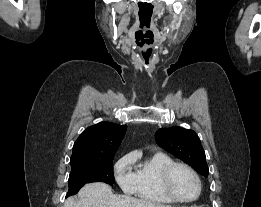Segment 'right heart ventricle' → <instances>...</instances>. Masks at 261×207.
Instances as JSON below:
<instances>
[{
    "label": "right heart ventricle",
    "mask_w": 261,
    "mask_h": 207,
    "mask_svg": "<svg viewBox=\"0 0 261 207\" xmlns=\"http://www.w3.org/2000/svg\"><path fill=\"white\" fill-rule=\"evenodd\" d=\"M172 163L174 160L162 152L153 153L142 160L136 170L137 197L156 203L174 202L164 193L161 185V174L164 168Z\"/></svg>",
    "instance_id": "1"
}]
</instances>
